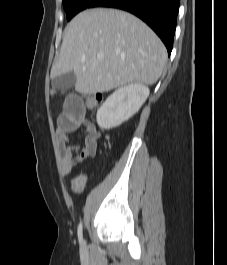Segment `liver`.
Wrapping results in <instances>:
<instances>
[{"mask_svg": "<svg viewBox=\"0 0 227 265\" xmlns=\"http://www.w3.org/2000/svg\"><path fill=\"white\" fill-rule=\"evenodd\" d=\"M166 62L164 44L143 21L124 11L99 8L83 11L68 23L50 77L73 72L77 92L96 94L130 83L152 85Z\"/></svg>", "mask_w": 227, "mask_h": 265, "instance_id": "1", "label": "liver"}]
</instances>
